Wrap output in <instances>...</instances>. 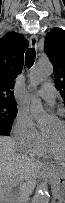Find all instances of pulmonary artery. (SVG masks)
<instances>
[{"instance_id":"obj_1","label":"pulmonary artery","mask_w":65,"mask_h":203,"mask_svg":"<svg viewBox=\"0 0 65 203\" xmlns=\"http://www.w3.org/2000/svg\"><path fill=\"white\" fill-rule=\"evenodd\" d=\"M37 95L52 104L56 99V90L51 83L47 82L37 91Z\"/></svg>"}]
</instances>
